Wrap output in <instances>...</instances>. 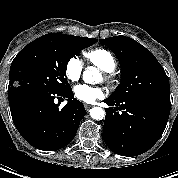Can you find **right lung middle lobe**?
I'll return each instance as SVG.
<instances>
[{"instance_id": "obj_1", "label": "right lung middle lobe", "mask_w": 178, "mask_h": 178, "mask_svg": "<svg viewBox=\"0 0 178 178\" xmlns=\"http://www.w3.org/2000/svg\"><path fill=\"white\" fill-rule=\"evenodd\" d=\"M98 40L46 34L26 45L14 58L8 92L15 89L63 91L71 88L66 79L69 60Z\"/></svg>"}]
</instances>
